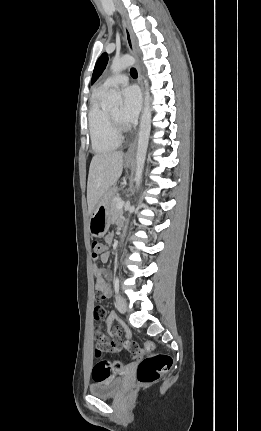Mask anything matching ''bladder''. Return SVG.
<instances>
[{
    "label": "bladder",
    "mask_w": 261,
    "mask_h": 431,
    "mask_svg": "<svg viewBox=\"0 0 261 431\" xmlns=\"http://www.w3.org/2000/svg\"><path fill=\"white\" fill-rule=\"evenodd\" d=\"M124 385V377L99 379L89 386V392L96 397L110 398L119 394Z\"/></svg>",
    "instance_id": "1"
}]
</instances>
